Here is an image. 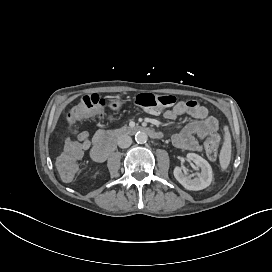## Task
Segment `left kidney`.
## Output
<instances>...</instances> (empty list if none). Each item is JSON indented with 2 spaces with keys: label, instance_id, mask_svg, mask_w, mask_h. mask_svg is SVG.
<instances>
[{
  "label": "left kidney",
  "instance_id": "obj_1",
  "mask_svg": "<svg viewBox=\"0 0 272 272\" xmlns=\"http://www.w3.org/2000/svg\"><path fill=\"white\" fill-rule=\"evenodd\" d=\"M186 158L193 161L199 168V171L185 175L180 166H175L173 174L178 182H180L186 189L201 190L209 186L212 181V168L210 164L200 155L195 153H187Z\"/></svg>",
  "mask_w": 272,
  "mask_h": 272
}]
</instances>
